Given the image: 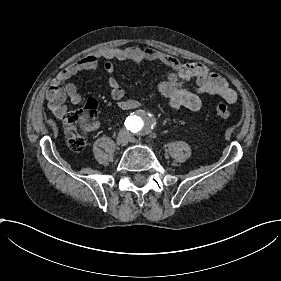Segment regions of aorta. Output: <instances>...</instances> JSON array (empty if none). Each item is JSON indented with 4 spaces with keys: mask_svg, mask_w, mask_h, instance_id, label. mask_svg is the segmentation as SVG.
I'll use <instances>...</instances> for the list:
<instances>
[{
    "mask_svg": "<svg viewBox=\"0 0 281 281\" xmlns=\"http://www.w3.org/2000/svg\"><path fill=\"white\" fill-rule=\"evenodd\" d=\"M155 123L154 114L147 110H140L130 118V125L138 130L149 131Z\"/></svg>",
    "mask_w": 281,
    "mask_h": 281,
    "instance_id": "762f6f07",
    "label": "aorta"
}]
</instances>
